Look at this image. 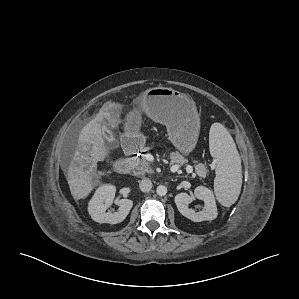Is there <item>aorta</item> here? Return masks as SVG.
<instances>
[{
    "instance_id": "1",
    "label": "aorta",
    "mask_w": 299,
    "mask_h": 299,
    "mask_svg": "<svg viewBox=\"0 0 299 299\" xmlns=\"http://www.w3.org/2000/svg\"><path fill=\"white\" fill-rule=\"evenodd\" d=\"M156 192L159 196H165L167 194V187L164 185H159L156 188Z\"/></svg>"
}]
</instances>
